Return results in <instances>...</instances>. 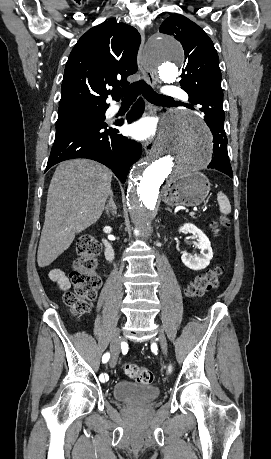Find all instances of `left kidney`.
<instances>
[{"label": "left kidney", "instance_id": "5707ae66", "mask_svg": "<svg viewBox=\"0 0 271 459\" xmlns=\"http://www.w3.org/2000/svg\"><path fill=\"white\" fill-rule=\"evenodd\" d=\"M179 231H189V233H193V235H196L199 239L198 247L200 249V253L198 255H190V253H182L181 259L187 267H190V269H204V267H207L210 263V259L213 257V251L211 247V243L201 231V229L196 228L194 224H184V226H181L179 228Z\"/></svg>", "mask_w": 271, "mask_h": 459}]
</instances>
